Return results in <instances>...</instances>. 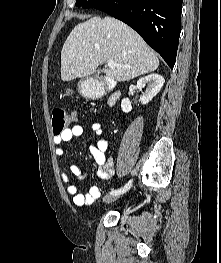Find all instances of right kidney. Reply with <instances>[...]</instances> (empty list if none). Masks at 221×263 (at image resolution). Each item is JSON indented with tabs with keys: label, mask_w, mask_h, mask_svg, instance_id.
I'll list each match as a JSON object with an SVG mask.
<instances>
[{
	"label": "right kidney",
	"mask_w": 221,
	"mask_h": 263,
	"mask_svg": "<svg viewBox=\"0 0 221 263\" xmlns=\"http://www.w3.org/2000/svg\"><path fill=\"white\" fill-rule=\"evenodd\" d=\"M165 80L159 74H150L137 81L136 88L140 91L147 85L145 92H142L140 96L141 103L143 105L149 103L161 90ZM121 109L123 112L128 113L132 110L130 100L124 98L121 101Z\"/></svg>",
	"instance_id": "obj_1"
}]
</instances>
